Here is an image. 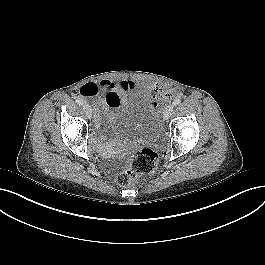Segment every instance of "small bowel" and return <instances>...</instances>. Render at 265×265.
Returning a JSON list of instances; mask_svg holds the SVG:
<instances>
[{"label":"small bowel","mask_w":265,"mask_h":265,"mask_svg":"<svg viewBox=\"0 0 265 265\" xmlns=\"http://www.w3.org/2000/svg\"><path fill=\"white\" fill-rule=\"evenodd\" d=\"M135 84L136 83L133 80H120L118 82H114L110 79H103L99 83H85L80 88V94L86 99L93 100V107L96 113H98L101 110L118 107L126 91ZM151 88L161 101H166L171 96V92L161 85L154 84ZM112 95L116 98H111ZM111 116L112 115L110 113V117ZM96 117L98 120V116Z\"/></svg>","instance_id":"c3829d8e"}]
</instances>
